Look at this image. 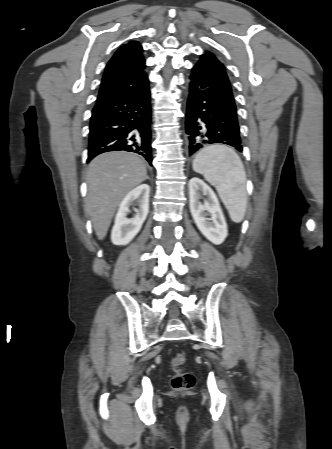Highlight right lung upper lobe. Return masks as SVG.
Segmentation results:
<instances>
[{
    "label": "right lung upper lobe",
    "instance_id": "1",
    "mask_svg": "<svg viewBox=\"0 0 332 449\" xmlns=\"http://www.w3.org/2000/svg\"><path fill=\"white\" fill-rule=\"evenodd\" d=\"M142 46L136 41L122 45L106 66L97 102L125 99L148 87Z\"/></svg>",
    "mask_w": 332,
    "mask_h": 449
}]
</instances>
